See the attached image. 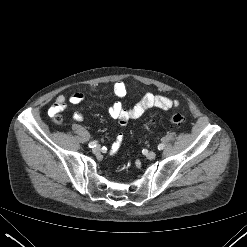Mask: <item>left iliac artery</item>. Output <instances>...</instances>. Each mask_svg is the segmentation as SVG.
Wrapping results in <instances>:
<instances>
[{
    "label": "left iliac artery",
    "instance_id": "obj_1",
    "mask_svg": "<svg viewBox=\"0 0 247 247\" xmlns=\"http://www.w3.org/2000/svg\"><path fill=\"white\" fill-rule=\"evenodd\" d=\"M164 148V144H159L158 145V150H162Z\"/></svg>",
    "mask_w": 247,
    "mask_h": 247
}]
</instances>
